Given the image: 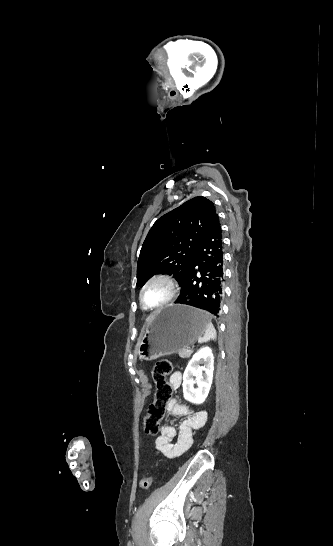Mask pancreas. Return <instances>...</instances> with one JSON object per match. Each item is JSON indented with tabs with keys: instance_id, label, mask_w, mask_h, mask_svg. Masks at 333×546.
<instances>
[{
	"instance_id": "1",
	"label": "pancreas",
	"mask_w": 333,
	"mask_h": 546,
	"mask_svg": "<svg viewBox=\"0 0 333 546\" xmlns=\"http://www.w3.org/2000/svg\"><path fill=\"white\" fill-rule=\"evenodd\" d=\"M192 352H188V349L184 348V349H180L178 351V355L181 357V358H189L190 355H191Z\"/></svg>"
}]
</instances>
